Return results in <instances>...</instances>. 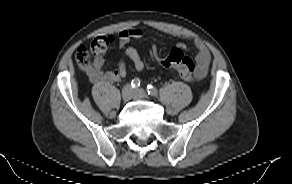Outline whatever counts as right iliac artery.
Instances as JSON below:
<instances>
[{
	"label": "right iliac artery",
	"mask_w": 292,
	"mask_h": 184,
	"mask_svg": "<svg viewBox=\"0 0 292 184\" xmlns=\"http://www.w3.org/2000/svg\"><path fill=\"white\" fill-rule=\"evenodd\" d=\"M140 79L139 78H134L132 81H131V86L133 88H138L140 86Z\"/></svg>",
	"instance_id": "82829eb1"
}]
</instances>
